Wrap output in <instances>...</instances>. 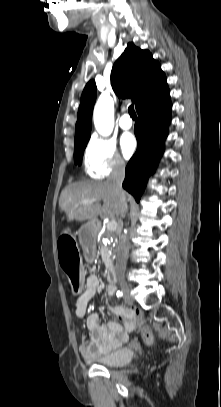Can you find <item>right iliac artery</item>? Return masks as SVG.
<instances>
[{
	"label": "right iliac artery",
	"mask_w": 221,
	"mask_h": 407,
	"mask_svg": "<svg viewBox=\"0 0 221 407\" xmlns=\"http://www.w3.org/2000/svg\"><path fill=\"white\" fill-rule=\"evenodd\" d=\"M117 296H122V292L117 291Z\"/></svg>",
	"instance_id": "1"
}]
</instances>
